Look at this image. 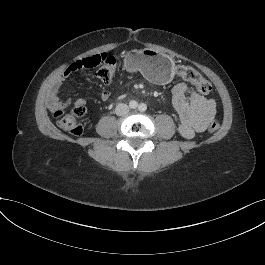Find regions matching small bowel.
I'll use <instances>...</instances> for the list:
<instances>
[{
  "label": "small bowel",
  "mask_w": 265,
  "mask_h": 265,
  "mask_svg": "<svg viewBox=\"0 0 265 265\" xmlns=\"http://www.w3.org/2000/svg\"><path fill=\"white\" fill-rule=\"evenodd\" d=\"M67 75L68 73L65 72L53 83L49 94V107L51 110L61 109L68 105V101H61L58 93ZM172 95L173 105L179 116L180 134L185 138H192L196 133L205 131L216 114L215 100L191 90L183 82L174 85ZM110 97L111 93L107 90L102 91L100 94L102 101H108ZM85 103L86 100L84 98H78L75 101L76 106H83Z\"/></svg>",
  "instance_id": "obj_1"
}]
</instances>
